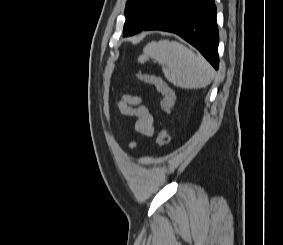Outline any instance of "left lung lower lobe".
Segmentation results:
<instances>
[{
  "mask_svg": "<svg viewBox=\"0 0 283 245\" xmlns=\"http://www.w3.org/2000/svg\"><path fill=\"white\" fill-rule=\"evenodd\" d=\"M144 30H162L181 36L218 69L219 34L213 0H173Z\"/></svg>",
  "mask_w": 283,
  "mask_h": 245,
  "instance_id": "0a47b994",
  "label": "left lung lower lobe"
}]
</instances>
